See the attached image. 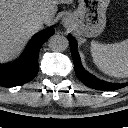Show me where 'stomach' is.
I'll return each instance as SVG.
<instances>
[{"instance_id":"obj_1","label":"stomach","mask_w":128,"mask_h":128,"mask_svg":"<svg viewBox=\"0 0 128 128\" xmlns=\"http://www.w3.org/2000/svg\"><path fill=\"white\" fill-rule=\"evenodd\" d=\"M110 0H79L78 8L69 15L71 28L79 35L97 37L106 27V10Z\"/></svg>"}]
</instances>
